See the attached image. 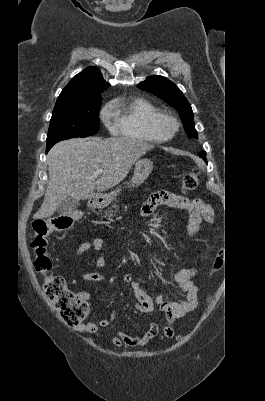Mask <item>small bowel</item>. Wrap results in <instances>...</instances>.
<instances>
[{
  "mask_svg": "<svg viewBox=\"0 0 265 401\" xmlns=\"http://www.w3.org/2000/svg\"><path fill=\"white\" fill-rule=\"evenodd\" d=\"M169 206L186 210L189 214L187 232L190 236L198 232L203 222L212 223L214 219V211L212 207L200 198L190 199L180 195H176L169 191H158L153 193L141 208V215L148 217L154 213L159 206ZM105 241L103 238L96 237L91 241L80 244L76 251V255L94 250L98 252L96 266L103 268L105 258L103 255ZM204 254L202 258H204ZM198 268H184L177 271L172 276V282L177 285L179 291L186 295V301L176 302L168 300L162 295L155 298L150 297L141 287L142 279L134 277L132 274H126L123 277L124 282L131 283L133 296L136 301V308L141 313L150 314L156 306H160L165 318L169 323L177 318H180L193 311L198 304L199 289L193 281V278L198 274ZM84 281L89 282H105L106 278L99 273H86L82 275ZM85 300L87 294H80ZM118 317V311L115 309L110 318L102 319L99 322H90L81 324L76 327V330L82 333L96 334L102 329L110 326ZM159 331V327L155 323H151L148 329L139 336H130L124 332L118 331L111 337L113 345L120 347L122 345L131 347H140L147 344L153 339Z\"/></svg>",
  "mask_w": 265,
  "mask_h": 401,
  "instance_id": "obj_1",
  "label": "small bowel"
}]
</instances>
